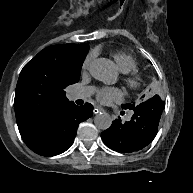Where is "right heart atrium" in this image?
<instances>
[{
    "instance_id": "d8ad5b80",
    "label": "right heart atrium",
    "mask_w": 193,
    "mask_h": 193,
    "mask_svg": "<svg viewBox=\"0 0 193 193\" xmlns=\"http://www.w3.org/2000/svg\"><path fill=\"white\" fill-rule=\"evenodd\" d=\"M89 63H90V58H87V59L84 61L83 66H82V69H83L84 71L88 69Z\"/></svg>"
}]
</instances>
